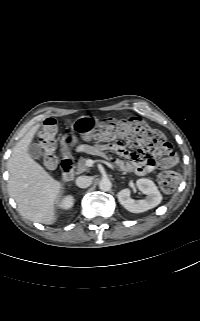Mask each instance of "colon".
<instances>
[{
	"label": "colon",
	"instance_id": "5ec220e1",
	"mask_svg": "<svg viewBox=\"0 0 200 321\" xmlns=\"http://www.w3.org/2000/svg\"><path fill=\"white\" fill-rule=\"evenodd\" d=\"M56 130L55 121L47 119L39 132V139L44 150L43 162L48 169L56 165L54 154L57 147ZM90 137L105 143L113 142L115 145L120 143L124 147L137 150L148 158H154L161 166L158 175L160 188L166 193H171L177 188L179 172L176 153L165 136L142 119L132 117L122 121L103 120L96 126Z\"/></svg>",
	"mask_w": 200,
	"mask_h": 321
}]
</instances>
